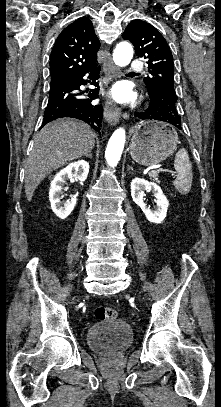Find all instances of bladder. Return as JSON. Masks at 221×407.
I'll return each mask as SVG.
<instances>
[{"instance_id":"31cf9c89","label":"bladder","mask_w":221,"mask_h":407,"mask_svg":"<svg viewBox=\"0 0 221 407\" xmlns=\"http://www.w3.org/2000/svg\"><path fill=\"white\" fill-rule=\"evenodd\" d=\"M88 346L98 353H117L127 350L133 342V330L123 319L95 323L86 333Z\"/></svg>"}]
</instances>
